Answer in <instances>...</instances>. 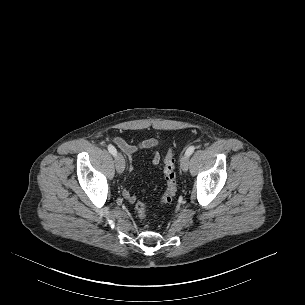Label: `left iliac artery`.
I'll return each mask as SVG.
<instances>
[{
  "label": "left iliac artery",
  "instance_id": "left-iliac-artery-1",
  "mask_svg": "<svg viewBox=\"0 0 305 305\" xmlns=\"http://www.w3.org/2000/svg\"><path fill=\"white\" fill-rule=\"evenodd\" d=\"M195 150V146H190L189 148H187L185 154L190 156Z\"/></svg>",
  "mask_w": 305,
  "mask_h": 305
}]
</instances>
